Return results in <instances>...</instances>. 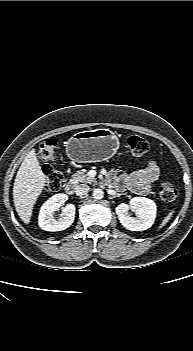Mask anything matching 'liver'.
I'll return each mask as SVG.
<instances>
[{"label": "liver", "instance_id": "obj_1", "mask_svg": "<svg viewBox=\"0 0 193 351\" xmlns=\"http://www.w3.org/2000/svg\"><path fill=\"white\" fill-rule=\"evenodd\" d=\"M46 179L32 149L24 158L18 169L13 186L15 209L25 224H29L33 206L45 187Z\"/></svg>", "mask_w": 193, "mask_h": 351}]
</instances>
